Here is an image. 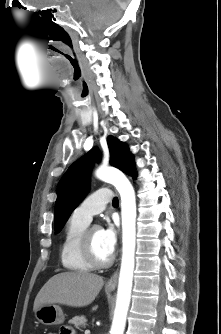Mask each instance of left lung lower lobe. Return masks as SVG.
<instances>
[{
    "label": "left lung lower lobe",
    "mask_w": 221,
    "mask_h": 334,
    "mask_svg": "<svg viewBox=\"0 0 221 334\" xmlns=\"http://www.w3.org/2000/svg\"><path fill=\"white\" fill-rule=\"evenodd\" d=\"M135 177H136V174L133 175V178H135Z\"/></svg>",
    "instance_id": "left-lung-lower-lobe-1"
}]
</instances>
